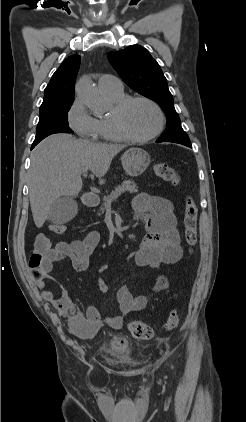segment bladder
<instances>
[{"instance_id":"31cf9c89","label":"bladder","mask_w":246,"mask_h":422,"mask_svg":"<svg viewBox=\"0 0 246 422\" xmlns=\"http://www.w3.org/2000/svg\"><path fill=\"white\" fill-rule=\"evenodd\" d=\"M106 351L109 355L117 357L127 352V346L122 344L119 339H112L109 342Z\"/></svg>"}]
</instances>
